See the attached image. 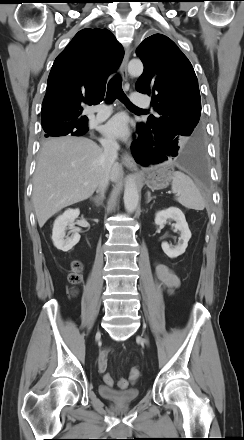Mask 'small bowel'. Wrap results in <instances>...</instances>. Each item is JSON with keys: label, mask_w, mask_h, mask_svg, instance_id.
I'll return each mask as SVG.
<instances>
[{"label": "small bowel", "mask_w": 244, "mask_h": 440, "mask_svg": "<svg viewBox=\"0 0 244 440\" xmlns=\"http://www.w3.org/2000/svg\"><path fill=\"white\" fill-rule=\"evenodd\" d=\"M155 273L160 284L168 291H173L180 284L178 276L173 270L164 264H157ZM98 370L104 373L107 369V351L103 350L98 357Z\"/></svg>", "instance_id": "1"}]
</instances>
